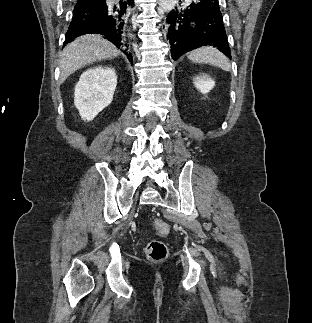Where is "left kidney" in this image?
<instances>
[{
  "label": "left kidney",
  "mask_w": 312,
  "mask_h": 323,
  "mask_svg": "<svg viewBox=\"0 0 312 323\" xmlns=\"http://www.w3.org/2000/svg\"><path fill=\"white\" fill-rule=\"evenodd\" d=\"M195 88L197 90H200L202 94H208L212 88L215 86L214 80H211L210 76H198V78H195L194 80Z\"/></svg>",
  "instance_id": "left-kidney-1"
}]
</instances>
